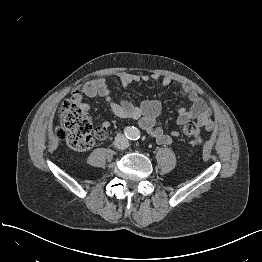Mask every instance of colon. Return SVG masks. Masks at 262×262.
Masks as SVG:
<instances>
[{
    "label": "colon",
    "mask_w": 262,
    "mask_h": 262,
    "mask_svg": "<svg viewBox=\"0 0 262 262\" xmlns=\"http://www.w3.org/2000/svg\"><path fill=\"white\" fill-rule=\"evenodd\" d=\"M60 124L54 127L59 139L66 140L75 150L88 149L93 143L91 134V116L88 109L80 101L65 98L58 111ZM180 133L189 139L192 148H199L203 139L195 121H186L179 125Z\"/></svg>",
    "instance_id": "obj_1"
}]
</instances>
